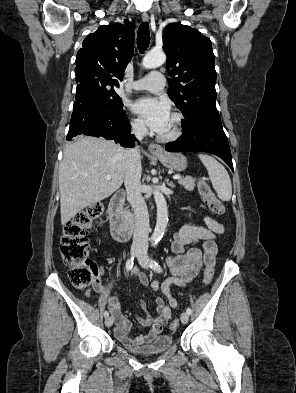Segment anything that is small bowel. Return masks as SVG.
<instances>
[{
	"label": "small bowel",
	"instance_id": "c3829d8e",
	"mask_svg": "<svg viewBox=\"0 0 296 393\" xmlns=\"http://www.w3.org/2000/svg\"><path fill=\"white\" fill-rule=\"evenodd\" d=\"M204 226H184L174 235L171 249L176 256L167 259V265L171 277L164 282L159 283L157 280L149 282L146 273L139 268H133L132 275L140 281L143 286L150 284L154 291H161L164 297H157L156 316H152L147 310L145 300H139V306L144 310L143 316H137L139 324L143 327H149L146 334L129 337L131 322L123 315L120 303L117 297L111 295L99 281L95 282L93 290L106 297L107 308L109 309L113 320L115 321V336L124 345L136 346L150 343L152 339L162 332L171 316V310L176 308L178 303L171 293L170 286H186L200 271L203 264H215L217 254L216 238L224 233V226L205 215L203 217ZM202 242V250L194 244ZM100 272H104V263L100 266Z\"/></svg>",
	"mask_w": 296,
	"mask_h": 393
}]
</instances>
